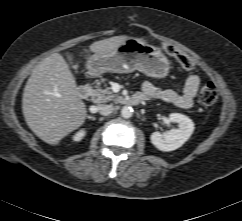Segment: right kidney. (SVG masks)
Instances as JSON below:
<instances>
[{
    "mask_svg": "<svg viewBox=\"0 0 242 221\" xmlns=\"http://www.w3.org/2000/svg\"><path fill=\"white\" fill-rule=\"evenodd\" d=\"M84 136H85V131H84V130H80L79 132H77V133L73 136V140H74V141H80Z\"/></svg>",
    "mask_w": 242,
    "mask_h": 221,
    "instance_id": "obj_1",
    "label": "right kidney"
}]
</instances>
